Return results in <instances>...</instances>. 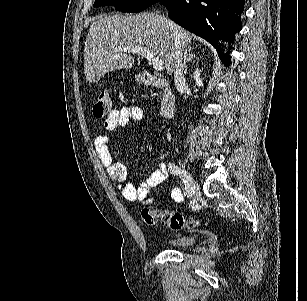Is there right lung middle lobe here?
Returning a JSON list of instances; mask_svg holds the SVG:
<instances>
[{
    "instance_id": "obj_1",
    "label": "right lung middle lobe",
    "mask_w": 307,
    "mask_h": 301,
    "mask_svg": "<svg viewBox=\"0 0 307 301\" xmlns=\"http://www.w3.org/2000/svg\"><path fill=\"white\" fill-rule=\"evenodd\" d=\"M159 0H95L93 7L113 5L121 12H140Z\"/></svg>"
}]
</instances>
